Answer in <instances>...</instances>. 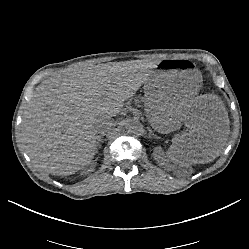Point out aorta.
Instances as JSON below:
<instances>
[{"mask_svg":"<svg viewBox=\"0 0 249 249\" xmlns=\"http://www.w3.org/2000/svg\"><path fill=\"white\" fill-rule=\"evenodd\" d=\"M125 128L128 133L133 134V135H139L143 129V126L140 123V121H138L137 119L131 118L127 120L125 124Z\"/></svg>","mask_w":249,"mask_h":249,"instance_id":"762f6f07","label":"aorta"}]
</instances>
